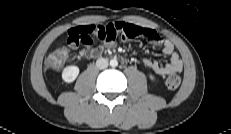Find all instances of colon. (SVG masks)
<instances>
[{"instance_id":"obj_1","label":"colon","mask_w":231,"mask_h":134,"mask_svg":"<svg viewBox=\"0 0 231 134\" xmlns=\"http://www.w3.org/2000/svg\"><path fill=\"white\" fill-rule=\"evenodd\" d=\"M67 59V52L64 49L54 51L46 60V65L50 69L59 70L63 67ZM181 83V78L177 75H171L166 79V86L171 89H177Z\"/></svg>"}]
</instances>
